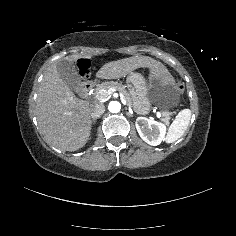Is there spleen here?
<instances>
[{
    "label": "spleen",
    "mask_w": 236,
    "mask_h": 236,
    "mask_svg": "<svg viewBox=\"0 0 236 236\" xmlns=\"http://www.w3.org/2000/svg\"><path fill=\"white\" fill-rule=\"evenodd\" d=\"M190 119H191V110L190 109L181 110L168 129L167 136L165 139L166 143H173L177 141L179 138H181L184 132L188 128Z\"/></svg>",
    "instance_id": "spleen-1"
}]
</instances>
